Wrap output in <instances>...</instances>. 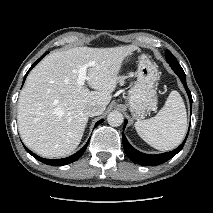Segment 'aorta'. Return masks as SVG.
Returning a JSON list of instances; mask_svg holds the SVG:
<instances>
[{
	"label": "aorta",
	"mask_w": 213,
	"mask_h": 213,
	"mask_svg": "<svg viewBox=\"0 0 213 213\" xmlns=\"http://www.w3.org/2000/svg\"><path fill=\"white\" fill-rule=\"evenodd\" d=\"M124 121V117L122 113L118 111H112L107 116V122L109 125L113 127L120 126Z\"/></svg>",
	"instance_id": "1"
}]
</instances>
